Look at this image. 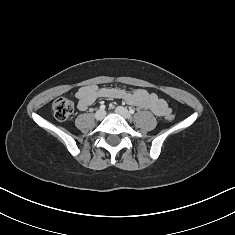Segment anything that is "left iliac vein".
<instances>
[{
    "label": "left iliac vein",
    "instance_id": "4c4485c4",
    "mask_svg": "<svg viewBox=\"0 0 235 235\" xmlns=\"http://www.w3.org/2000/svg\"><path fill=\"white\" fill-rule=\"evenodd\" d=\"M115 112L127 120L130 119V113L125 107L118 106L115 108Z\"/></svg>",
    "mask_w": 235,
    "mask_h": 235
}]
</instances>
